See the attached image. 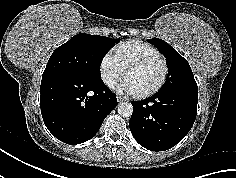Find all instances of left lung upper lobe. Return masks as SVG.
Segmentation results:
<instances>
[{
  "instance_id": "5c2ea615",
  "label": "left lung upper lobe",
  "mask_w": 236,
  "mask_h": 178,
  "mask_svg": "<svg viewBox=\"0 0 236 178\" xmlns=\"http://www.w3.org/2000/svg\"><path fill=\"white\" fill-rule=\"evenodd\" d=\"M165 56L168 66V76L160 89L163 91L198 92L192 70L187 60L172 46L162 39H148Z\"/></svg>"
}]
</instances>
